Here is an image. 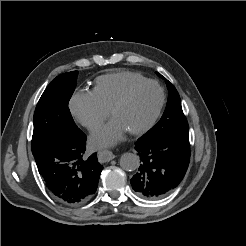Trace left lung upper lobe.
I'll return each instance as SVG.
<instances>
[{
    "instance_id": "1",
    "label": "left lung upper lobe",
    "mask_w": 246,
    "mask_h": 246,
    "mask_svg": "<svg viewBox=\"0 0 246 246\" xmlns=\"http://www.w3.org/2000/svg\"><path fill=\"white\" fill-rule=\"evenodd\" d=\"M159 77L164 78L161 74L156 73ZM169 96L166 109L160 121L145 136L155 138L168 133H189L188 122L182 111L180 96L176 88L165 79Z\"/></svg>"
}]
</instances>
